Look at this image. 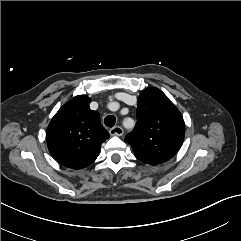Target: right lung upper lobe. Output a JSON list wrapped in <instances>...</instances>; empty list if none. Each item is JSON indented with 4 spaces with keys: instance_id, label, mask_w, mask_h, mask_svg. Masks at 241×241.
<instances>
[{
    "instance_id": "cb5924a9",
    "label": "right lung upper lobe",
    "mask_w": 241,
    "mask_h": 241,
    "mask_svg": "<svg viewBox=\"0 0 241 241\" xmlns=\"http://www.w3.org/2000/svg\"><path fill=\"white\" fill-rule=\"evenodd\" d=\"M91 99L78 95L63 105L46 132L48 149L63 166L75 170L93 163L109 133L100 123L99 113L89 107Z\"/></svg>"
}]
</instances>
